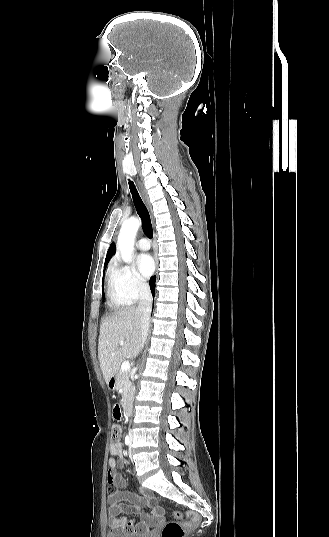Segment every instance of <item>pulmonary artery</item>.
<instances>
[{
    "mask_svg": "<svg viewBox=\"0 0 329 537\" xmlns=\"http://www.w3.org/2000/svg\"><path fill=\"white\" fill-rule=\"evenodd\" d=\"M137 248L142 251H147L150 248V243L146 238H141L136 244Z\"/></svg>",
    "mask_w": 329,
    "mask_h": 537,
    "instance_id": "e3ab8cb5",
    "label": "pulmonary artery"
}]
</instances>
